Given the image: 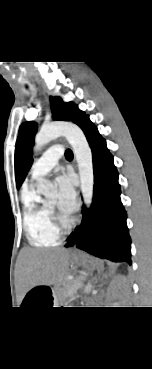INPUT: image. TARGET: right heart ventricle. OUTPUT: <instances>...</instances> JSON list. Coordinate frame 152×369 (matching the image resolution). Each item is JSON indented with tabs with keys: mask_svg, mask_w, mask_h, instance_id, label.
<instances>
[{
	"mask_svg": "<svg viewBox=\"0 0 152 369\" xmlns=\"http://www.w3.org/2000/svg\"><path fill=\"white\" fill-rule=\"evenodd\" d=\"M23 227L32 246L47 247L57 245L60 231L54 225L51 213L40 200L33 186L22 192Z\"/></svg>",
	"mask_w": 152,
	"mask_h": 369,
	"instance_id": "1",
	"label": "right heart ventricle"
}]
</instances>
